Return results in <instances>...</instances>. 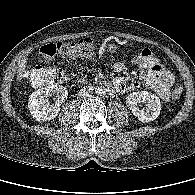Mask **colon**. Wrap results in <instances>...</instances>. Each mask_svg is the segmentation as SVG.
Here are the masks:
<instances>
[{"label": "colon", "mask_w": 195, "mask_h": 195, "mask_svg": "<svg viewBox=\"0 0 195 195\" xmlns=\"http://www.w3.org/2000/svg\"><path fill=\"white\" fill-rule=\"evenodd\" d=\"M40 55L44 61H49L58 56L90 60L95 56V49L90 39L82 38L76 42L47 43L40 48ZM130 59L137 65H142L149 69L158 68L154 54L147 48L137 50L131 54ZM24 77L34 87L63 84L68 79L64 70L42 66L25 71ZM182 94L183 89L181 86H176L172 90V98L175 100L180 99Z\"/></svg>", "instance_id": "colon-1"}]
</instances>
